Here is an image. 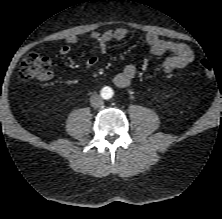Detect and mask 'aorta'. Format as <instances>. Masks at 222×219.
Segmentation results:
<instances>
[{
    "label": "aorta",
    "mask_w": 222,
    "mask_h": 219,
    "mask_svg": "<svg viewBox=\"0 0 222 219\" xmlns=\"http://www.w3.org/2000/svg\"><path fill=\"white\" fill-rule=\"evenodd\" d=\"M112 90L109 88V90L108 91H106V97L107 98H110L111 96H112Z\"/></svg>",
    "instance_id": "762f6f07"
}]
</instances>
